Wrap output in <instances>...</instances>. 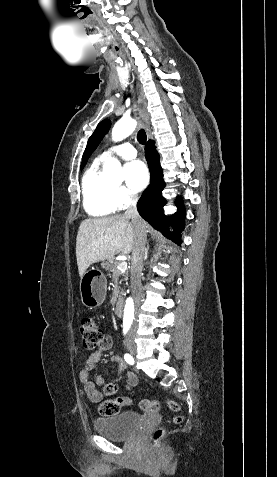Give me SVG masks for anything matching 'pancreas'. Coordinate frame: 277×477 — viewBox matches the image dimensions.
I'll list each match as a JSON object with an SVG mask.
<instances>
[{
    "instance_id": "pancreas-1",
    "label": "pancreas",
    "mask_w": 277,
    "mask_h": 477,
    "mask_svg": "<svg viewBox=\"0 0 277 477\" xmlns=\"http://www.w3.org/2000/svg\"><path fill=\"white\" fill-rule=\"evenodd\" d=\"M119 263L120 262H115L114 261V257H111L107 260V262L102 263V267L105 270H107L109 272H112L113 277H119L120 275H123L124 279L127 280L128 279V273L127 272L122 273L117 269V266L119 265Z\"/></svg>"
}]
</instances>
